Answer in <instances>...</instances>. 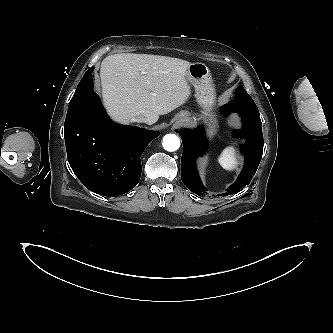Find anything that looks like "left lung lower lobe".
Segmentation results:
<instances>
[{
	"instance_id": "1",
	"label": "left lung lower lobe",
	"mask_w": 333,
	"mask_h": 333,
	"mask_svg": "<svg viewBox=\"0 0 333 333\" xmlns=\"http://www.w3.org/2000/svg\"><path fill=\"white\" fill-rule=\"evenodd\" d=\"M222 110L225 113L230 110L239 112L243 117L244 126L241 130H235L234 134L247 139L245 145L241 147V151L245 154V165L235 183L226 190L225 194L230 195L248 185L256 173L263 153L262 123L253 100L246 101L235 97L228 105H224ZM182 133L184 134L182 138L184 152L181 158V178L190 191L201 196L205 194L206 188L199 178L194 157L203 154L206 150L203 133L201 128L195 131L185 130Z\"/></svg>"
}]
</instances>
